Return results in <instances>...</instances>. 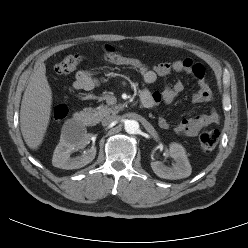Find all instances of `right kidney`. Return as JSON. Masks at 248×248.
<instances>
[{
  "mask_svg": "<svg viewBox=\"0 0 248 248\" xmlns=\"http://www.w3.org/2000/svg\"><path fill=\"white\" fill-rule=\"evenodd\" d=\"M85 135V129L70 133L62 132L60 142L53 154V166L66 170L79 169L92 162L96 155L95 147L85 150L81 156L70 157V153L74 149L83 148L87 144V141L84 139Z\"/></svg>",
  "mask_w": 248,
  "mask_h": 248,
  "instance_id": "1",
  "label": "right kidney"
}]
</instances>
